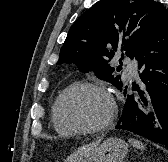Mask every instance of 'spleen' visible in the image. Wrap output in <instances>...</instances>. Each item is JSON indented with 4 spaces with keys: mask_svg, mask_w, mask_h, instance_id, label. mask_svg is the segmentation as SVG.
Listing matches in <instances>:
<instances>
[{
    "mask_svg": "<svg viewBox=\"0 0 168 162\" xmlns=\"http://www.w3.org/2000/svg\"><path fill=\"white\" fill-rule=\"evenodd\" d=\"M129 142L137 149H140L143 151L145 149V145L141 141L135 140V139H129Z\"/></svg>",
    "mask_w": 168,
    "mask_h": 162,
    "instance_id": "spleen-1",
    "label": "spleen"
}]
</instances>
